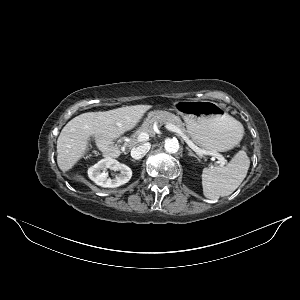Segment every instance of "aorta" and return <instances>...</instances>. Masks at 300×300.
<instances>
[{
	"label": "aorta",
	"instance_id": "762f6f07",
	"mask_svg": "<svg viewBox=\"0 0 300 300\" xmlns=\"http://www.w3.org/2000/svg\"><path fill=\"white\" fill-rule=\"evenodd\" d=\"M164 148L168 153H172V154L177 153L180 148L179 142L175 138L167 139L165 141Z\"/></svg>",
	"mask_w": 300,
	"mask_h": 300
}]
</instances>
